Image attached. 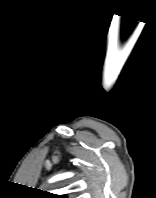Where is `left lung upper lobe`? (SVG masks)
Wrapping results in <instances>:
<instances>
[{
	"mask_svg": "<svg viewBox=\"0 0 156 198\" xmlns=\"http://www.w3.org/2000/svg\"><path fill=\"white\" fill-rule=\"evenodd\" d=\"M49 197H52V198H68L67 196H64V195H57V194H49Z\"/></svg>",
	"mask_w": 156,
	"mask_h": 198,
	"instance_id": "1",
	"label": "left lung upper lobe"
}]
</instances>
